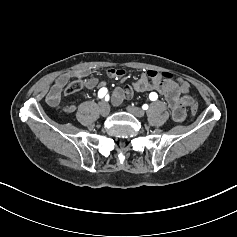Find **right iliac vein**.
I'll return each instance as SVG.
<instances>
[{
  "label": "right iliac vein",
  "instance_id": "63e3f726",
  "mask_svg": "<svg viewBox=\"0 0 237 237\" xmlns=\"http://www.w3.org/2000/svg\"><path fill=\"white\" fill-rule=\"evenodd\" d=\"M110 112L109 105L106 102H101L100 104V113L102 116H107Z\"/></svg>",
  "mask_w": 237,
  "mask_h": 237
}]
</instances>
